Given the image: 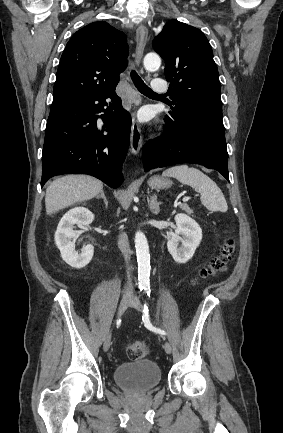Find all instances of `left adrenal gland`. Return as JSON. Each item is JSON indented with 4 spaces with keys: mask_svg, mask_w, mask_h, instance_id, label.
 <instances>
[{
    "mask_svg": "<svg viewBox=\"0 0 283 433\" xmlns=\"http://www.w3.org/2000/svg\"><path fill=\"white\" fill-rule=\"evenodd\" d=\"M148 202L151 212H154V214H158V212H160L159 204H162V202H158L156 194L150 196V198H148Z\"/></svg>",
    "mask_w": 283,
    "mask_h": 433,
    "instance_id": "obj_1",
    "label": "left adrenal gland"
}]
</instances>
